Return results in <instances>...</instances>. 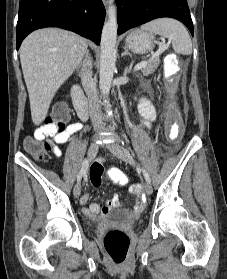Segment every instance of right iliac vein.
<instances>
[{"instance_id":"obj_1","label":"right iliac vein","mask_w":227,"mask_h":279,"mask_svg":"<svg viewBox=\"0 0 227 279\" xmlns=\"http://www.w3.org/2000/svg\"><path fill=\"white\" fill-rule=\"evenodd\" d=\"M98 152V145L96 143H91L88 149V161H91ZM81 193V185L78 183L73 189V195L75 198H78Z\"/></svg>"}]
</instances>
